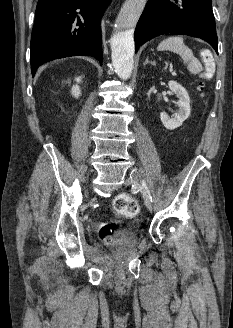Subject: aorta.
Segmentation results:
<instances>
[{
  "label": "aorta",
  "mask_w": 233,
  "mask_h": 328,
  "mask_svg": "<svg viewBox=\"0 0 233 328\" xmlns=\"http://www.w3.org/2000/svg\"><path fill=\"white\" fill-rule=\"evenodd\" d=\"M146 0H126L123 4L111 38L112 63L117 75L127 80L134 65L133 28L141 16Z\"/></svg>",
  "instance_id": "aorta-1"
}]
</instances>
